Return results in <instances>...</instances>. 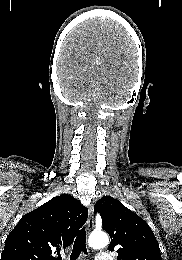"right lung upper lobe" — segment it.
<instances>
[{
	"label": "right lung upper lobe",
	"instance_id": "1",
	"mask_svg": "<svg viewBox=\"0 0 182 260\" xmlns=\"http://www.w3.org/2000/svg\"><path fill=\"white\" fill-rule=\"evenodd\" d=\"M88 210L73 196H56L25 214L9 233L1 260H58L86 222Z\"/></svg>",
	"mask_w": 182,
	"mask_h": 260
}]
</instances>
